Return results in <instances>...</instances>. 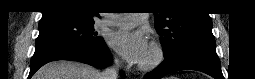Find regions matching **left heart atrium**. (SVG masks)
Listing matches in <instances>:
<instances>
[{
    "label": "left heart atrium",
    "instance_id": "1",
    "mask_svg": "<svg viewBox=\"0 0 255 79\" xmlns=\"http://www.w3.org/2000/svg\"><path fill=\"white\" fill-rule=\"evenodd\" d=\"M112 44L130 63H141L148 52V41L140 31L119 30L112 36Z\"/></svg>",
    "mask_w": 255,
    "mask_h": 79
}]
</instances>
